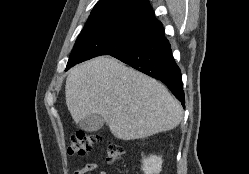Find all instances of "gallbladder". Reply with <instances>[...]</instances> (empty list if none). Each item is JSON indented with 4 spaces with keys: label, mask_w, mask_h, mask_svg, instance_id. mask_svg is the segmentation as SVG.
Wrapping results in <instances>:
<instances>
[{
    "label": "gallbladder",
    "mask_w": 249,
    "mask_h": 174,
    "mask_svg": "<svg viewBox=\"0 0 249 174\" xmlns=\"http://www.w3.org/2000/svg\"><path fill=\"white\" fill-rule=\"evenodd\" d=\"M104 119L102 116L98 114H91L89 116L84 117L79 122V127L88 132H94L101 129L104 125Z\"/></svg>",
    "instance_id": "gallbladder-1"
}]
</instances>
